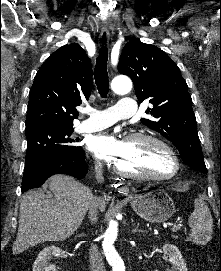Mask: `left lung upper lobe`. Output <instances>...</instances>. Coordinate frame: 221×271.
Masks as SVG:
<instances>
[{"label": "left lung upper lobe", "mask_w": 221, "mask_h": 271, "mask_svg": "<svg viewBox=\"0 0 221 271\" xmlns=\"http://www.w3.org/2000/svg\"><path fill=\"white\" fill-rule=\"evenodd\" d=\"M118 70L132 79L139 102L150 98L153 104L146 111L152 118L141 122L169 139L188 166L207 173L192 99L177 64L158 47L134 39L124 46Z\"/></svg>", "instance_id": "left-lung-upper-lobe-1"}]
</instances>
